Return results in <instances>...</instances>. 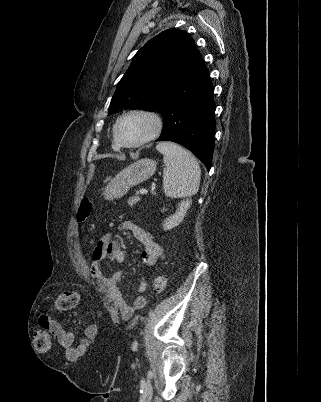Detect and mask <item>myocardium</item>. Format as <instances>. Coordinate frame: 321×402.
<instances>
[{
  "label": "myocardium",
  "mask_w": 321,
  "mask_h": 402,
  "mask_svg": "<svg viewBox=\"0 0 321 402\" xmlns=\"http://www.w3.org/2000/svg\"><path fill=\"white\" fill-rule=\"evenodd\" d=\"M133 115H140V116H144L146 118H148L151 121L152 127L150 132L143 137L142 139H140L139 141L135 142V143H131V144H127L124 143L120 136H119V125L120 123ZM163 128V120L161 118V116L156 113L153 110H149V109H145V108H132L129 109L127 111H125L124 113H122L115 121L114 126H113V136L114 139L116 141V143L118 144V146L120 148H124V149H137L140 147L145 146L146 144H148L149 142L153 141L162 131Z\"/></svg>",
  "instance_id": "obj_1"
}]
</instances>
